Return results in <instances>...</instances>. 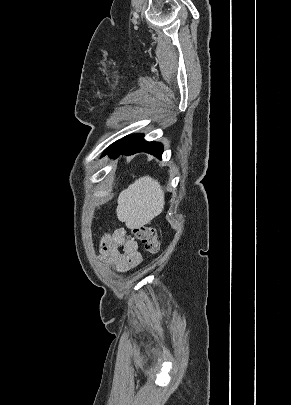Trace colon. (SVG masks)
Instances as JSON below:
<instances>
[{"label":"colon","mask_w":291,"mask_h":405,"mask_svg":"<svg viewBox=\"0 0 291 405\" xmlns=\"http://www.w3.org/2000/svg\"><path fill=\"white\" fill-rule=\"evenodd\" d=\"M133 237L142 243L149 254H156L160 250V239L156 229L150 225H141L132 230Z\"/></svg>","instance_id":"colon-1"}]
</instances>
